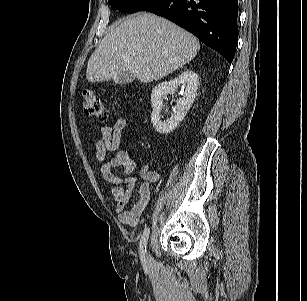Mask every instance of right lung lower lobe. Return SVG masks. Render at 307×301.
<instances>
[{
    "instance_id": "98d812e1",
    "label": "right lung lower lobe",
    "mask_w": 307,
    "mask_h": 301,
    "mask_svg": "<svg viewBox=\"0 0 307 301\" xmlns=\"http://www.w3.org/2000/svg\"><path fill=\"white\" fill-rule=\"evenodd\" d=\"M141 11L165 17L232 62L238 40V0H155Z\"/></svg>"
}]
</instances>
